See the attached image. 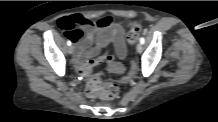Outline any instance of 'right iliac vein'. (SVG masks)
Instances as JSON below:
<instances>
[{"label": "right iliac vein", "instance_id": "1", "mask_svg": "<svg viewBox=\"0 0 218 122\" xmlns=\"http://www.w3.org/2000/svg\"><path fill=\"white\" fill-rule=\"evenodd\" d=\"M67 52H68L69 54H73V52H74V47H73V46H69L68 49H67Z\"/></svg>", "mask_w": 218, "mask_h": 122}]
</instances>
